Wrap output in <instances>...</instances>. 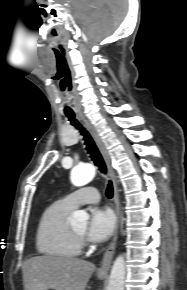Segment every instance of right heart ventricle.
Masks as SVG:
<instances>
[{
  "mask_svg": "<svg viewBox=\"0 0 187 290\" xmlns=\"http://www.w3.org/2000/svg\"><path fill=\"white\" fill-rule=\"evenodd\" d=\"M72 210L59 200L43 211L36 231V246L41 254L59 259L74 258L79 254L80 246L67 221Z\"/></svg>",
  "mask_w": 187,
  "mask_h": 290,
  "instance_id": "obj_1",
  "label": "right heart ventricle"
}]
</instances>
